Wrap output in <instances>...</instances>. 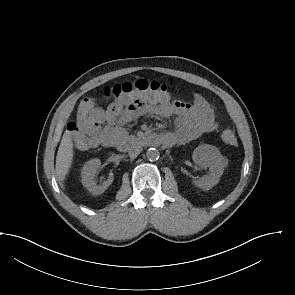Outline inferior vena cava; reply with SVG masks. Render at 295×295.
<instances>
[{"label":"inferior vena cava","mask_w":295,"mask_h":295,"mask_svg":"<svg viewBox=\"0 0 295 295\" xmlns=\"http://www.w3.org/2000/svg\"><path fill=\"white\" fill-rule=\"evenodd\" d=\"M141 151L142 147L139 145H135L129 150V157L134 159L141 153Z\"/></svg>","instance_id":"inferior-vena-cava-1"}]
</instances>
